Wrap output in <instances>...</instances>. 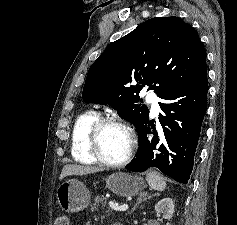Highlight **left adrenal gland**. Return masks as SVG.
Segmentation results:
<instances>
[{
	"label": "left adrenal gland",
	"mask_w": 237,
	"mask_h": 225,
	"mask_svg": "<svg viewBox=\"0 0 237 225\" xmlns=\"http://www.w3.org/2000/svg\"><path fill=\"white\" fill-rule=\"evenodd\" d=\"M156 195H159V194L148 195L147 192H142V193H140V195H139V197H138V199H137V202H136V204L133 206V208H132L130 214H132V213L134 212V210L137 208V206H138L139 204H141L143 201H146V200H148V199H150V198H152V197H154V196H156Z\"/></svg>",
	"instance_id": "1"
}]
</instances>
